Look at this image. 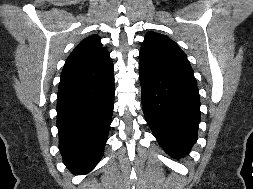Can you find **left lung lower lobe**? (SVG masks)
<instances>
[{
  "label": "left lung lower lobe",
  "mask_w": 253,
  "mask_h": 189,
  "mask_svg": "<svg viewBox=\"0 0 253 189\" xmlns=\"http://www.w3.org/2000/svg\"><path fill=\"white\" fill-rule=\"evenodd\" d=\"M142 108L160 146L171 156L186 154L197 140L200 97L197 83L139 65Z\"/></svg>",
  "instance_id": "left-lung-lower-lobe-1"
}]
</instances>
